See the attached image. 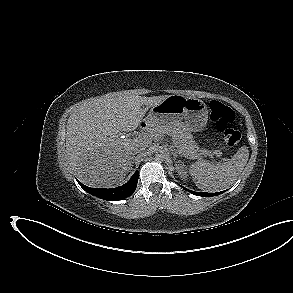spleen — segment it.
I'll use <instances>...</instances> for the list:
<instances>
[{"label":"spleen","mask_w":293,"mask_h":293,"mask_svg":"<svg viewBox=\"0 0 293 293\" xmlns=\"http://www.w3.org/2000/svg\"><path fill=\"white\" fill-rule=\"evenodd\" d=\"M248 158V147L242 146L226 162L214 164L203 160L198 161L190 166L189 172L199 189L206 192H218L233 185L246 166Z\"/></svg>","instance_id":"3e777b00"}]
</instances>
